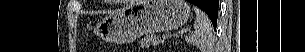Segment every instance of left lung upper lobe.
<instances>
[{
  "mask_svg": "<svg viewBox=\"0 0 305 52\" xmlns=\"http://www.w3.org/2000/svg\"><path fill=\"white\" fill-rule=\"evenodd\" d=\"M209 18L211 19L212 23H217V14H218V9H206L205 10Z\"/></svg>",
  "mask_w": 305,
  "mask_h": 52,
  "instance_id": "1",
  "label": "left lung upper lobe"
}]
</instances>
